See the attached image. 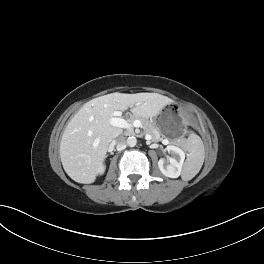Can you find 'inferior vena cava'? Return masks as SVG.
Listing matches in <instances>:
<instances>
[{
  "label": "inferior vena cava",
  "mask_w": 264,
  "mask_h": 264,
  "mask_svg": "<svg viewBox=\"0 0 264 264\" xmlns=\"http://www.w3.org/2000/svg\"><path fill=\"white\" fill-rule=\"evenodd\" d=\"M113 143L116 145V149L118 151H122L126 148V139L124 136L122 135H119L117 136L114 140H113Z\"/></svg>",
  "instance_id": "obj_1"
}]
</instances>
